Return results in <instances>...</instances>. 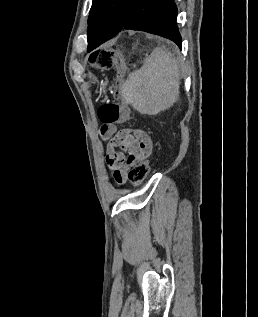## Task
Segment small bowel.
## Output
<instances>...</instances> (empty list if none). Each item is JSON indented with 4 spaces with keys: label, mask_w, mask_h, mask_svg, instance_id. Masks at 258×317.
Segmentation results:
<instances>
[{
    "label": "small bowel",
    "mask_w": 258,
    "mask_h": 317,
    "mask_svg": "<svg viewBox=\"0 0 258 317\" xmlns=\"http://www.w3.org/2000/svg\"><path fill=\"white\" fill-rule=\"evenodd\" d=\"M101 137L109 140L106 147V164L118 184L127 181L128 170L153 151L151 137L141 129H123L116 132L112 124H103Z\"/></svg>",
    "instance_id": "obj_1"
}]
</instances>
